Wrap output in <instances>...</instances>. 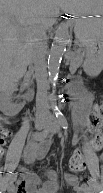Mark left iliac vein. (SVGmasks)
I'll list each match as a JSON object with an SVG mask.
<instances>
[{"label":"left iliac vein","instance_id":"4c4485c4","mask_svg":"<svg viewBox=\"0 0 103 193\" xmlns=\"http://www.w3.org/2000/svg\"><path fill=\"white\" fill-rule=\"evenodd\" d=\"M46 129L51 132V133H58L59 130H60V124L54 120V119H51L47 125H46Z\"/></svg>","mask_w":103,"mask_h":193}]
</instances>
